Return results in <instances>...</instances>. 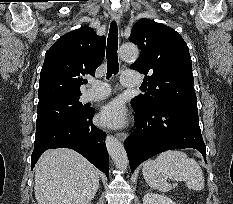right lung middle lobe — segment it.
Masks as SVG:
<instances>
[{"instance_id":"obj_1","label":"right lung middle lobe","mask_w":233,"mask_h":204,"mask_svg":"<svg viewBox=\"0 0 233 204\" xmlns=\"http://www.w3.org/2000/svg\"><path fill=\"white\" fill-rule=\"evenodd\" d=\"M80 95L59 96L38 103L36 134L62 122L74 121L90 109L79 102Z\"/></svg>"}]
</instances>
